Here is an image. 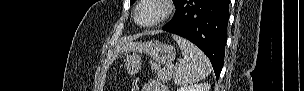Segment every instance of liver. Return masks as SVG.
I'll list each match as a JSON object with an SVG mask.
<instances>
[{
	"mask_svg": "<svg viewBox=\"0 0 304 91\" xmlns=\"http://www.w3.org/2000/svg\"><path fill=\"white\" fill-rule=\"evenodd\" d=\"M147 48V43H142V42H134L129 39H124L123 41L120 42V44L115 48L113 58L118 56L120 52L123 51H137V52H142ZM111 59L110 61H112Z\"/></svg>",
	"mask_w": 304,
	"mask_h": 91,
	"instance_id": "obj_1",
	"label": "liver"
}]
</instances>
